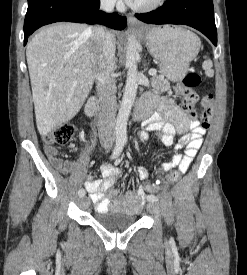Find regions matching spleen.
Returning <instances> with one entry per match:
<instances>
[{"instance_id": "3e777b00", "label": "spleen", "mask_w": 247, "mask_h": 275, "mask_svg": "<svg viewBox=\"0 0 247 275\" xmlns=\"http://www.w3.org/2000/svg\"><path fill=\"white\" fill-rule=\"evenodd\" d=\"M203 69L205 70V73L208 75V76H212L214 74V71L212 70V67H213V63L210 59H208L206 56H205V61L203 62V65H202Z\"/></svg>"}]
</instances>
